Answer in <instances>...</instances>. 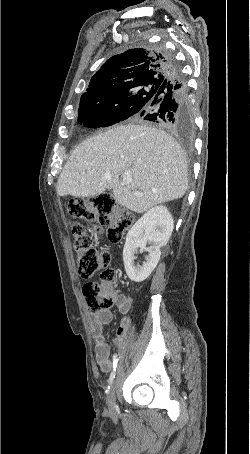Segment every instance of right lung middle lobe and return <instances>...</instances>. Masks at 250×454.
Instances as JSON below:
<instances>
[{
	"label": "right lung middle lobe",
	"mask_w": 250,
	"mask_h": 454,
	"mask_svg": "<svg viewBox=\"0 0 250 454\" xmlns=\"http://www.w3.org/2000/svg\"><path fill=\"white\" fill-rule=\"evenodd\" d=\"M159 88L160 84L149 83L117 99L82 104L79 106L78 122L85 127L99 128L137 116L150 105Z\"/></svg>",
	"instance_id": "1"
}]
</instances>
